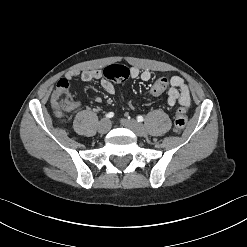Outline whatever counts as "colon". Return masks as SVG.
Returning a JSON list of instances; mask_svg holds the SVG:
<instances>
[{
    "mask_svg": "<svg viewBox=\"0 0 247 247\" xmlns=\"http://www.w3.org/2000/svg\"><path fill=\"white\" fill-rule=\"evenodd\" d=\"M103 76L107 80L114 82H124L130 76V70L124 65H110L103 70ZM167 86V79L161 78L155 82L151 89V93L154 96H159L163 93ZM73 98L68 89V85L63 82L57 84L51 97V105L57 114L73 108ZM187 123L186 109L179 107L175 113L174 129L176 133H181Z\"/></svg>",
    "mask_w": 247,
    "mask_h": 247,
    "instance_id": "1",
    "label": "colon"
}]
</instances>
